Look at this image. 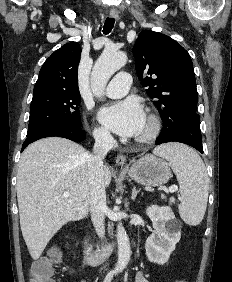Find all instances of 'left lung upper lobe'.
<instances>
[{"instance_id": "5c2ea615", "label": "left lung upper lobe", "mask_w": 232, "mask_h": 282, "mask_svg": "<svg viewBox=\"0 0 232 282\" xmlns=\"http://www.w3.org/2000/svg\"><path fill=\"white\" fill-rule=\"evenodd\" d=\"M135 69L146 93L154 100L162 120L180 108L196 112L198 101L193 64L189 53L172 38L143 31L133 47ZM148 74L143 79L144 74Z\"/></svg>"}]
</instances>
